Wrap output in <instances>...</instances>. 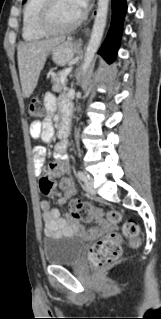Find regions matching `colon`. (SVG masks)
Instances as JSON below:
<instances>
[{"mask_svg":"<svg viewBox=\"0 0 161 319\" xmlns=\"http://www.w3.org/2000/svg\"><path fill=\"white\" fill-rule=\"evenodd\" d=\"M28 114L31 117H40L42 115V105L38 98L33 99L28 107ZM62 185L67 189L71 188L68 181H63ZM41 192L45 195L53 194V182L46 176L40 182ZM70 216L82 221H93L107 218L113 223L120 220V214L117 211H104L93 207L88 201L72 199L70 201ZM124 236L132 246H138L141 243L138 225L131 220L123 224ZM123 237L118 233H110L104 238L98 240L90 249L88 260L94 267L105 268L114 264L122 254Z\"/></svg>","mask_w":161,"mask_h":319,"instance_id":"5ec220e1","label":"colon"}]
</instances>
